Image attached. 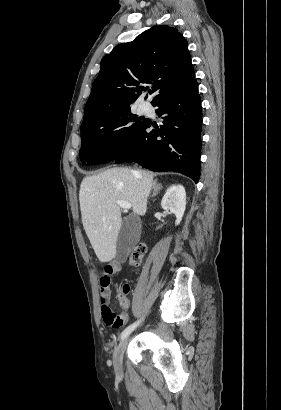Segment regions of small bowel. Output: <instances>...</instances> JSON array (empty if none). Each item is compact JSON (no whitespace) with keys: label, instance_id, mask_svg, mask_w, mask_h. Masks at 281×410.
I'll return each mask as SVG.
<instances>
[{"label":"small bowel","instance_id":"small-bowel-1","mask_svg":"<svg viewBox=\"0 0 281 410\" xmlns=\"http://www.w3.org/2000/svg\"><path fill=\"white\" fill-rule=\"evenodd\" d=\"M121 270V265L119 263H109L105 265L103 272L99 279L100 287V303H101V312L104 314L107 308H110V285H111V276L118 273ZM122 323L124 324L126 316L121 315Z\"/></svg>","mask_w":281,"mask_h":410}]
</instances>
